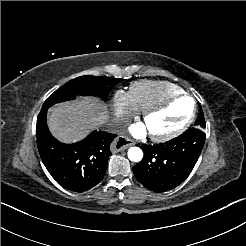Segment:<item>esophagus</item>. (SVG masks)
I'll list each match as a JSON object with an SVG mask.
<instances>
[{"label":"esophagus","mask_w":246,"mask_h":246,"mask_svg":"<svg viewBox=\"0 0 246 246\" xmlns=\"http://www.w3.org/2000/svg\"><path fill=\"white\" fill-rule=\"evenodd\" d=\"M132 145H134V142L130 138L126 136H118L113 140L112 144L110 145V150L113 153H117L119 151L127 149Z\"/></svg>","instance_id":"1"}]
</instances>
